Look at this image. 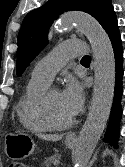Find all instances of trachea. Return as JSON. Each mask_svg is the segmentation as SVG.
Masks as SVG:
<instances>
[{
    "label": "trachea",
    "instance_id": "3493384b",
    "mask_svg": "<svg viewBox=\"0 0 125 167\" xmlns=\"http://www.w3.org/2000/svg\"><path fill=\"white\" fill-rule=\"evenodd\" d=\"M90 61H91L90 56H84V57L81 59V62H90Z\"/></svg>",
    "mask_w": 125,
    "mask_h": 167
}]
</instances>
